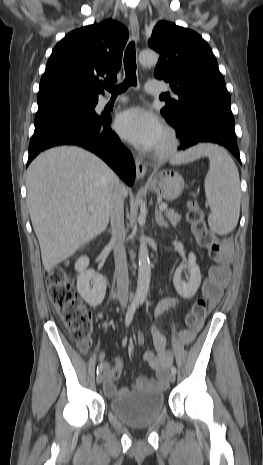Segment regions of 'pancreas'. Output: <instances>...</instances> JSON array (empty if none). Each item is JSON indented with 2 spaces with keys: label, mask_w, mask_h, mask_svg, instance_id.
I'll list each match as a JSON object with an SVG mask.
<instances>
[{
  "label": "pancreas",
  "mask_w": 263,
  "mask_h": 465,
  "mask_svg": "<svg viewBox=\"0 0 263 465\" xmlns=\"http://www.w3.org/2000/svg\"><path fill=\"white\" fill-rule=\"evenodd\" d=\"M166 216L168 220L170 221L171 225L173 227H176V225L180 222L181 216L177 214L174 210H168L166 211Z\"/></svg>",
  "instance_id": "pancreas-1"
}]
</instances>
